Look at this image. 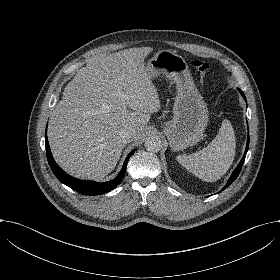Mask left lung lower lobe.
<instances>
[{
  "instance_id": "obj_1",
  "label": "left lung lower lobe",
  "mask_w": 280,
  "mask_h": 280,
  "mask_svg": "<svg viewBox=\"0 0 280 280\" xmlns=\"http://www.w3.org/2000/svg\"><path fill=\"white\" fill-rule=\"evenodd\" d=\"M239 91H240V90H239ZM240 93H241V95H242V96L244 97V99H245L244 94H243L241 91H240ZM245 100H246V99H245ZM248 147H249V137H248V139H247L246 150H245V153H244V155H243V157H242V160L240 161L239 165L236 167V169H235L234 172L232 173L230 179L228 180L226 186H225L222 190H224L226 187H228L229 185H231V184L234 182V180L237 178V176L239 175V172H240V170H241V168H242V165H243L244 160H245V157H246V153H247V151H248ZM222 190H221V191H222Z\"/></svg>"
}]
</instances>
